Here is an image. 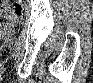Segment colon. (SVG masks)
<instances>
[{
    "mask_svg": "<svg viewBox=\"0 0 93 83\" xmlns=\"http://www.w3.org/2000/svg\"><path fill=\"white\" fill-rule=\"evenodd\" d=\"M23 2L21 1H13V2H4L1 8V11L3 14L9 12V13H15L18 11L19 7Z\"/></svg>",
    "mask_w": 93,
    "mask_h": 83,
    "instance_id": "5ec220e1",
    "label": "colon"
}]
</instances>
